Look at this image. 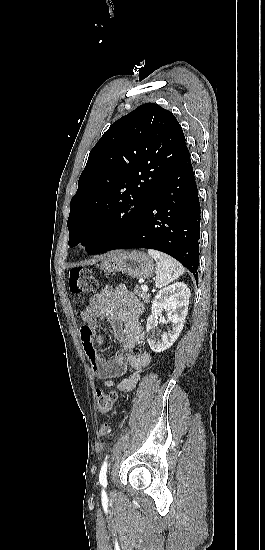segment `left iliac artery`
I'll return each mask as SVG.
<instances>
[{"instance_id": "obj_1", "label": "left iliac artery", "mask_w": 265, "mask_h": 550, "mask_svg": "<svg viewBox=\"0 0 265 550\" xmlns=\"http://www.w3.org/2000/svg\"><path fill=\"white\" fill-rule=\"evenodd\" d=\"M107 467H108V461H104L99 474V482L101 485L107 484V480H106Z\"/></svg>"}]
</instances>
